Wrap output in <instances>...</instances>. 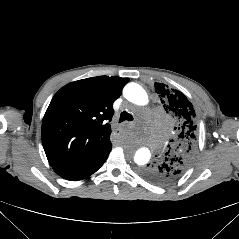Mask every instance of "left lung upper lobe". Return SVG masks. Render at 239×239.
I'll return each instance as SVG.
<instances>
[{
	"label": "left lung upper lobe",
	"instance_id": "left-lung-upper-lobe-1",
	"mask_svg": "<svg viewBox=\"0 0 239 239\" xmlns=\"http://www.w3.org/2000/svg\"><path fill=\"white\" fill-rule=\"evenodd\" d=\"M167 115L177 127V135L170 140L169 150L153 165H147L142 175L155 184H169L182 177L193 161L197 148V118L193 105L179 90L163 83H155Z\"/></svg>",
	"mask_w": 239,
	"mask_h": 239
}]
</instances>
